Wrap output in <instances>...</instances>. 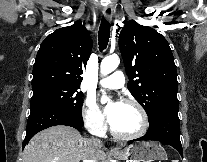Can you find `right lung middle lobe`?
I'll use <instances>...</instances> for the list:
<instances>
[{
    "instance_id": "dd1d6c3e",
    "label": "right lung middle lobe",
    "mask_w": 207,
    "mask_h": 162,
    "mask_svg": "<svg viewBox=\"0 0 207 162\" xmlns=\"http://www.w3.org/2000/svg\"><path fill=\"white\" fill-rule=\"evenodd\" d=\"M80 87L46 84L33 87L31 108L38 105H55L67 109L77 115H81L83 104V93ZM82 116V115H81Z\"/></svg>"
}]
</instances>
